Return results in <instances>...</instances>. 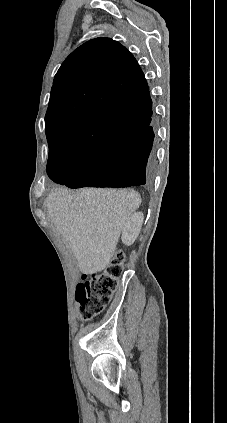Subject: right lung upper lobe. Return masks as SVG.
Masks as SVG:
<instances>
[{"label":"right lung upper lobe","instance_id":"obj_1","mask_svg":"<svg viewBox=\"0 0 227 423\" xmlns=\"http://www.w3.org/2000/svg\"><path fill=\"white\" fill-rule=\"evenodd\" d=\"M148 96L133 55L110 38L92 39L71 53L55 75L45 116L48 142L87 152L123 138L132 124L108 119L99 109Z\"/></svg>","mask_w":227,"mask_h":423}]
</instances>
